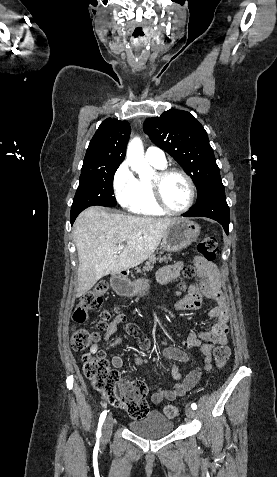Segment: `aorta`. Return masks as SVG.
<instances>
[{
  "label": "aorta",
  "instance_id": "obj_1",
  "mask_svg": "<svg viewBox=\"0 0 277 477\" xmlns=\"http://www.w3.org/2000/svg\"><path fill=\"white\" fill-rule=\"evenodd\" d=\"M127 161L141 179L150 177L153 174L152 167L144 161V150L140 138H133L127 147Z\"/></svg>",
  "mask_w": 277,
  "mask_h": 477
}]
</instances>
